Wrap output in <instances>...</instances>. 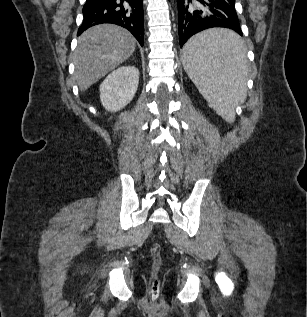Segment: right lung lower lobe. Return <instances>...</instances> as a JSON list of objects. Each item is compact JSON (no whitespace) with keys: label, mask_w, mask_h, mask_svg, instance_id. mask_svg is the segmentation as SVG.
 Here are the masks:
<instances>
[{"label":"right lung lower lobe","mask_w":307,"mask_h":317,"mask_svg":"<svg viewBox=\"0 0 307 317\" xmlns=\"http://www.w3.org/2000/svg\"><path fill=\"white\" fill-rule=\"evenodd\" d=\"M77 35L97 24L113 23L128 29L141 46L144 42L142 0H86Z\"/></svg>","instance_id":"right-lung-lower-lobe-1"}]
</instances>
